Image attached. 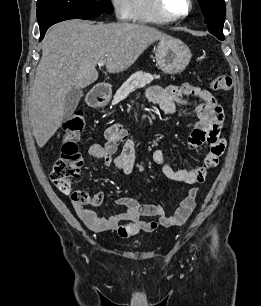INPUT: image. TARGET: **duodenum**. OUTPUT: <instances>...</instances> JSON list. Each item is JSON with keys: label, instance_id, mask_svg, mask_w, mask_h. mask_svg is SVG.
<instances>
[{"label": "duodenum", "instance_id": "1", "mask_svg": "<svg viewBox=\"0 0 261 306\" xmlns=\"http://www.w3.org/2000/svg\"><path fill=\"white\" fill-rule=\"evenodd\" d=\"M111 88L108 84H97L88 96V103L92 107L101 106L110 96Z\"/></svg>", "mask_w": 261, "mask_h": 306}]
</instances>
